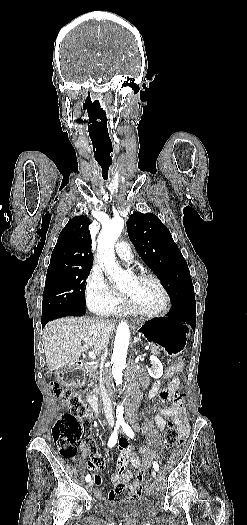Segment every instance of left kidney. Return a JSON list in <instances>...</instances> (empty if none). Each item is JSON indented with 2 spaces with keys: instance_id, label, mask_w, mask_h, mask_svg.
<instances>
[{
  "instance_id": "1",
  "label": "left kidney",
  "mask_w": 247,
  "mask_h": 525,
  "mask_svg": "<svg viewBox=\"0 0 247 525\" xmlns=\"http://www.w3.org/2000/svg\"><path fill=\"white\" fill-rule=\"evenodd\" d=\"M151 363H154L153 369H148L150 375H153V377H160L163 373V367L162 363H160L159 359L157 357H150Z\"/></svg>"
}]
</instances>
